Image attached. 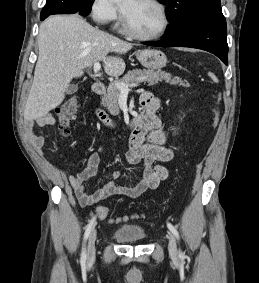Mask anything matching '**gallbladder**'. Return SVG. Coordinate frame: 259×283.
<instances>
[{
  "label": "gallbladder",
  "instance_id": "obj_1",
  "mask_svg": "<svg viewBox=\"0 0 259 283\" xmlns=\"http://www.w3.org/2000/svg\"><path fill=\"white\" fill-rule=\"evenodd\" d=\"M78 90V86L76 84H71L69 87L66 89V94L67 95H72L76 93Z\"/></svg>",
  "mask_w": 259,
  "mask_h": 283
}]
</instances>
